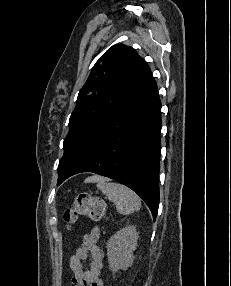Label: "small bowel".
Here are the masks:
<instances>
[{
	"mask_svg": "<svg viewBox=\"0 0 231 286\" xmlns=\"http://www.w3.org/2000/svg\"><path fill=\"white\" fill-rule=\"evenodd\" d=\"M100 229L95 226L83 236L80 246L70 258V268L73 272L71 284L74 286H103L100 278L103 269L102 252L97 245ZM90 257L87 269L83 262Z\"/></svg>",
	"mask_w": 231,
	"mask_h": 286,
	"instance_id": "obj_1",
	"label": "small bowel"
}]
</instances>
